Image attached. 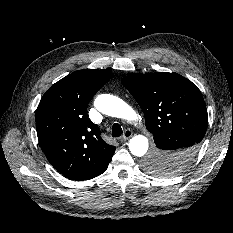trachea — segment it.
Returning a JSON list of instances; mask_svg holds the SVG:
<instances>
[{
  "instance_id": "1",
  "label": "trachea",
  "mask_w": 233,
  "mask_h": 233,
  "mask_svg": "<svg viewBox=\"0 0 233 233\" xmlns=\"http://www.w3.org/2000/svg\"><path fill=\"white\" fill-rule=\"evenodd\" d=\"M123 133L121 126L118 123L112 126V137H119Z\"/></svg>"
}]
</instances>
